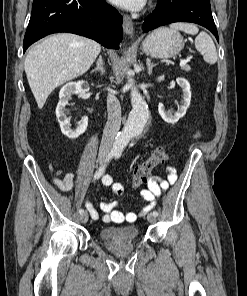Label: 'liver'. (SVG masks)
<instances>
[{"instance_id": "obj_1", "label": "liver", "mask_w": 247, "mask_h": 296, "mask_svg": "<svg viewBox=\"0 0 247 296\" xmlns=\"http://www.w3.org/2000/svg\"><path fill=\"white\" fill-rule=\"evenodd\" d=\"M101 46L96 41L71 33H57L32 47L24 68L39 109L50 93L91 67Z\"/></svg>"}]
</instances>
